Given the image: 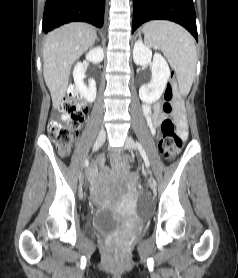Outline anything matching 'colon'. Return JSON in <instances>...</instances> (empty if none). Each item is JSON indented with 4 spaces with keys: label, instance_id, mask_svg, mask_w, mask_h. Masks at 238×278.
Returning a JSON list of instances; mask_svg holds the SVG:
<instances>
[{
    "label": "colon",
    "instance_id": "1",
    "mask_svg": "<svg viewBox=\"0 0 238 278\" xmlns=\"http://www.w3.org/2000/svg\"><path fill=\"white\" fill-rule=\"evenodd\" d=\"M174 97L173 84L168 82L165 86L162 106L167 117L161 124L162 136L159 142L160 151L166 159L177 155L182 146L181 137L176 132L173 121L168 117L173 111ZM60 110L68 117L67 121H52L48 126V135L59 154L66 156L78 135L79 126L88 111V107L78 91L72 88L63 99ZM111 163L116 168L129 169L131 167V162L127 158L113 156Z\"/></svg>",
    "mask_w": 238,
    "mask_h": 278
}]
</instances>
